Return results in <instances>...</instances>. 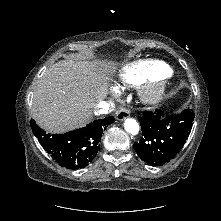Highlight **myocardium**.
Segmentation results:
<instances>
[{"instance_id":"f54148a6","label":"myocardium","mask_w":221,"mask_h":221,"mask_svg":"<svg viewBox=\"0 0 221 221\" xmlns=\"http://www.w3.org/2000/svg\"><path fill=\"white\" fill-rule=\"evenodd\" d=\"M166 85L167 83L164 78L154 81L142 90V99L150 104L158 102L165 93Z\"/></svg>"}]
</instances>
